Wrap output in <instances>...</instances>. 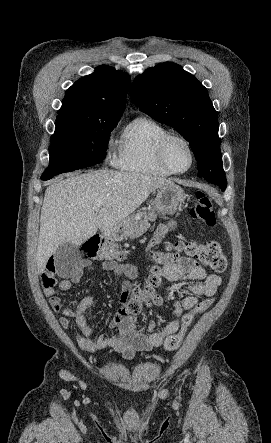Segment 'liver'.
<instances>
[{"label":"liver","mask_w":271,"mask_h":443,"mask_svg":"<svg viewBox=\"0 0 271 443\" xmlns=\"http://www.w3.org/2000/svg\"><path fill=\"white\" fill-rule=\"evenodd\" d=\"M65 178L45 192L36 253L39 273L62 243L82 245L98 227L104 233L114 231L154 190L172 184L165 178L113 170L65 174ZM95 202H105L98 214Z\"/></svg>","instance_id":"1"}]
</instances>
